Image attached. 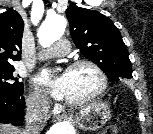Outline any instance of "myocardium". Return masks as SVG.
Returning a JSON list of instances; mask_svg holds the SVG:
<instances>
[{
  "label": "myocardium",
  "mask_w": 153,
  "mask_h": 134,
  "mask_svg": "<svg viewBox=\"0 0 153 134\" xmlns=\"http://www.w3.org/2000/svg\"><path fill=\"white\" fill-rule=\"evenodd\" d=\"M81 66L90 67L96 73L98 80H99V84H98V87L95 89V91H93L91 94H89L88 96L80 100L72 101V100L66 99L65 100L66 104L72 107H79V106L85 105L89 103L90 101L94 100L95 98H97L99 95H101L105 91L108 85V79H107L105 72L99 66V64H97L95 61L91 59H78L72 62L68 66L67 71L74 70Z\"/></svg>",
  "instance_id": "myocardium-1"
}]
</instances>
